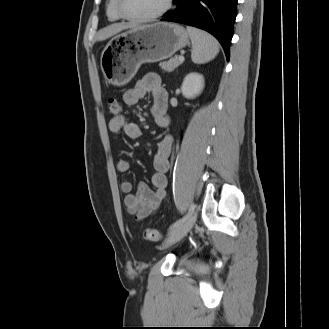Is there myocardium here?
Segmentation results:
<instances>
[{"label": "myocardium", "instance_id": "1", "mask_svg": "<svg viewBox=\"0 0 329 329\" xmlns=\"http://www.w3.org/2000/svg\"><path fill=\"white\" fill-rule=\"evenodd\" d=\"M173 0H166L164 6L156 13L147 16H136L127 14L123 8L122 0H116V9L119 15L127 20L134 22H149L165 15L172 7Z\"/></svg>", "mask_w": 329, "mask_h": 329}]
</instances>
